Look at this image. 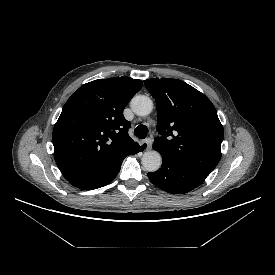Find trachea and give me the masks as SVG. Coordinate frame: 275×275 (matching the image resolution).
Instances as JSON below:
<instances>
[{
  "label": "trachea",
  "instance_id": "1",
  "mask_svg": "<svg viewBox=\"0 0 275 275\" xmlns=\"http://www.w3.org/2000/svg\"><path fill=\"white\" fill-rule=\"evenodd\" d=\"M148 133L147 126L141 124L137 126L134 130L135 136H137L139 139H145Z\"/></svg>",
  "mask_w": 275,
  "mask_h": 275
}]
</instances>
